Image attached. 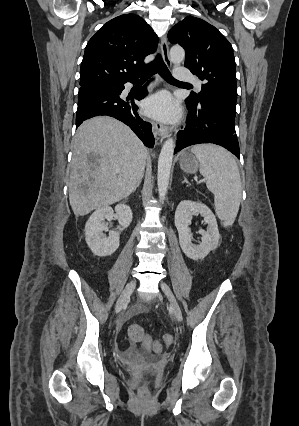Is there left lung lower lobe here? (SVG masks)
Returning a JSON list of instances; mask_svg holds the SVG:
<instances>
[{
    "instance_id": "obj_1",
    "label": "left lung lower lobe",
    "mask_w": 299,
    "mask_h": 426,
    "mask_svg": "<svg viewBox=\"0 0 299 426\" xmlns=\"http://www.w3.org/2000/svg\"><path fill=\"white\" fill-rule=\"evenodd\" d=\"M186 104L189 109L187 126L177 134L174 153L190 145L213 143L223 146L240 158L235 133L236 110L217 101L194 103L187 98Z\"/></svg>"
}]
</instances>
